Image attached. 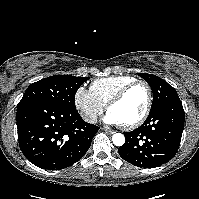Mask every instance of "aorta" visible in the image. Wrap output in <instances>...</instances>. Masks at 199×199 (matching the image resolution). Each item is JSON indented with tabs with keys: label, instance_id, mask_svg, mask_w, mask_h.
Wrapping results in <instances>:
<instances>
[{
	"label": "aorta",
	"instance_id": "obj_1",
	"mask_svg": "<svg viewBox=\"0 0 199 199\" xmlns=\"http://www.w3.org/2000/svg\"><path fill=\"white\" fill-rule=\"evenodd\" d=\"M113 144L116 146H122L125 143V137L121 133H116L112 136Z\"/></svg>",
	"mask_w": 199,
	"mask_h": 199
}]
</instances>
